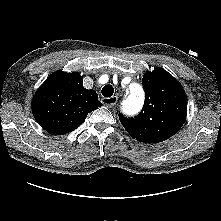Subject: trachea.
Segmentation results:
<instances>
[{
    "mask_svg": "<svg viewBox=\"0 0 221 221\" xmlns=\"http://www.w3.org/2000/svg\"><path fill=\"white\" fill-rule=\"evenodd\" d=\"M102 95L105 97H111L114 93V88L112 85H105L101 91Z\"/></svg>",
    "mask_w": 221,
    "mask_h": 221,
    "instance_id": "3493384b",
    "label": "trachea"
}]
</instances>
